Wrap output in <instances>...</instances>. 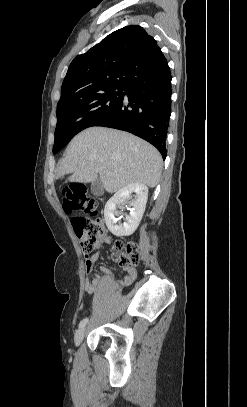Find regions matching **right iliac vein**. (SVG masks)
Wrapping results in <instances>:
<instances>
[{"instance_id": "right-iliac-vein-1", "label": "right iliac vein", "mask_w": 247, "mask_h": 407, "mask_svg": "<svg viewBox=\"0 0 247 407\" xmlns=\"http://www.w3.org/2000/svg\"><path fill=\"white\" fill-rule=\"evenodd\" d=\"M84 334H85V328H81L80 330L77 331V333L74 336V343L76 346H78L81 341L84 338Z\"/></svg>"}]
</instances>
